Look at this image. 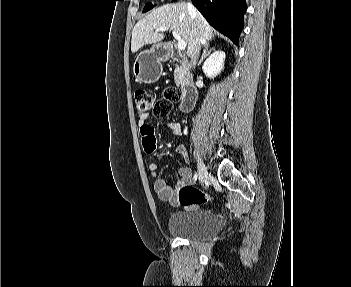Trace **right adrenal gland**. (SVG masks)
<instances>
[{"mask_svg":"<svg viewBox=\"0 0 351 287\" xmlns=\"http://www.w3.org/2000/svg\"><path fill=\"white\" fill-rule=\"evenodd\" d=\"M212 50H214V48H211V49L209 50V43H206L205 46H204V50H203L201 59H200L199 62H198V66L203 62V60L210 54V52H211Z\"/></svg>","mask_w":351,"mask_h":287,"instance_id":"1","label":"right adrenal gland"}]
</instances>
